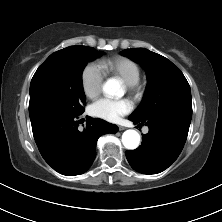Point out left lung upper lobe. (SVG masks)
<instances>
[{
  "instance_id": "left-lung-upper-lobe-1",
  "label": "left lung upper lobe",
  "mask_w": 222,
  "mask_h": 222,
  "mask_svg": "<svg viewBox=\"0 0 222 222\" xmlns=\"http://www.w3.org/2000/svg\"><path fill=\"white\" fill-rule=\"evenodd\" d=\"M121 54L141 64L148 78L143 101L131 117L148 119L177 113L191 121V90L178 67L167 58L145 48L126 49Z\"/></svg>"
}]
</instances>
